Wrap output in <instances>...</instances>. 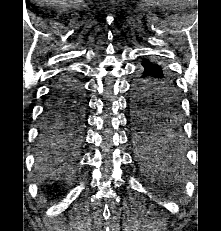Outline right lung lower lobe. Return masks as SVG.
<instances>
[{"label": "right lung lower lobe", "instance_id": "right-lung-lower-lobe-1", "mask_svg": "<svg viewBox=\"0 0 221 231\" xmlns=\"http://www.w3.org/2000/svg\"><path fill=\"white\" fill-rule=\"evenodd\" d=\"M84 98L79 80L70 73H62L52 87L45 109L50 105L71 103Z\"/></svg>", "mask_w": 221, "mask_h": 231}]
</instances>
